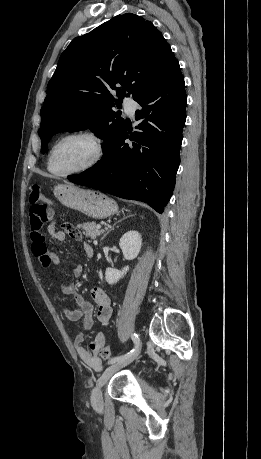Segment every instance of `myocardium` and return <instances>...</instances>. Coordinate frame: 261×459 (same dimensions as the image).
Instances as JSON below:
<instances>
[{
  "label": "myocardium",
  "mask_w": 261,
  "mask_h": 459,
  "mask_svg": "<svg viewBox=\"0 0 261 459\" xmlns=\"http://www.w3.org/2000/svg\"><path fill=\"white\" fill-rule=\"evenodd\" d=\"M70 138H85L89 140L93 147V154L91 158L84 165L76 169H73L71 171L64 172V173L54 172L51 168V159H52L53 153L60 143ZM104 153H105L104 143L102 139L96 133L92 131H88V130H74V131H70V132L60 135L51 144L48 154H47L46 165H47L48 171L54 176L69 177V176L81 174V173H84V172H87L93 169L95 166H97L101 162L104 156Z\"/></svg>",
  "instance_id": "obj_1"
}]
</instances>
